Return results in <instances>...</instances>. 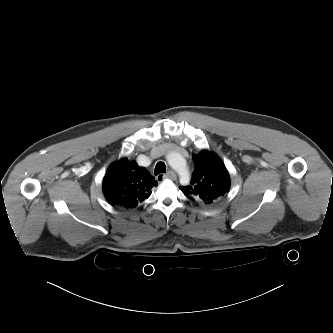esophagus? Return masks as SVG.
Masks as SVG:
<instances>
[{
    "instance_id": "esophagus-1",
    "label": "esophagus",
    "mask_w": 333,
    "mask_h": 333,
    "mask_svg": "<svg viewBox=\"0 0 333 333\" xmlns=\"http://www.w3.org/2000/svg\"><path fill=\"white\" fill-rule=\"evenodd\" d=\"M157 181L160 182L164 179H170V180H175L176 179V174L173 171H169L166 174H159L156 177Z\"/></svg>"
}]
</instances>
